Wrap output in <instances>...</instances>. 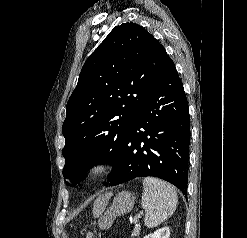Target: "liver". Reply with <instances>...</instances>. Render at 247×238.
Instances as JSON below:
<instances>
[{
  "mask_svg": "<svg viewBox=\"0 0 247 238\" xmlns=\"http://www.w3.org/2000/svg\"><path fill=\"white\" fill-rule=\"evenodd\" d=\"M112 196V193H105L99 196L93 205V216L98 217L104 210L105 205L107 204L108 200Z\"/></svg>",
  "mask_w": 247,
  "mask_h": 238,
  "instance_id": "6515ba94",
  "label": "liver"
}]
</instances>
